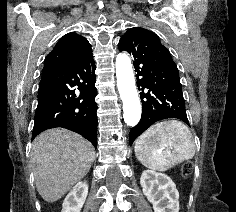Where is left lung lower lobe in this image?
Instances as JSON below:
<instances>
[{"mask_svg":"<svg viewBox=\"0 0 236 212\" xmlns=\"http://www.w3.org/2000/svg\"><path fill=\"white\" fill-rule=\"evenodd\" d=\"M119 50L133 56L142 116L129 133L130 145L157 121L177 118L189 125L177 65L153 32L134 27L119 41Z\"/></svg>","mask_w":236,"mask_h":212,"instance_id":"1","label":"left lung lower lobe"}]
</instances>
